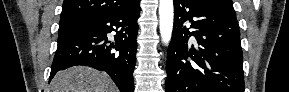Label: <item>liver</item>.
<instances>
[{
    "label": "liver",
    "instance_id": "obj_1",
    "mask_svg": "<svg viewBox=\"0 0 289 92\" xmlns=\"http://www.w3.org/2000/svg\"><path fill=\"white\" fill-rule=\"evenodd\" d=\"M50 85L53 92H117L106 73L83 66L58 72Z\"/></svg>",
    "mask_w": 289,
    "mask_h": 92
}]
</instances>
